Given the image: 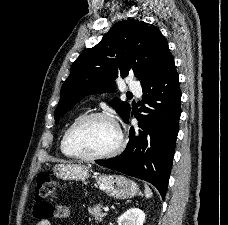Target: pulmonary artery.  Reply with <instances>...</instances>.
<instances>
[{"instance_id":"1","label":"pulmonary artery","mask_w":228,"mask_h":225,"mask_svg":"<svg viewBox=\"0 0 228 225\" xmlns=\"http://www.w3.org/2000/svg\"><path fill=\"white\" fill-rule=\"evenodd\" d=\"M130 90H133L135 95H137L138 97H140L141 94H142L141 85H138L137 81H132L131 82Z\"/></svg>"}]
</instances>
